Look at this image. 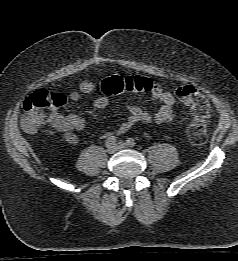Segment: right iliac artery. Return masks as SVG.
<instances>
[{
    "label": "right iliac artery",
    "mask_w": 238,
    "mask_h": 261,
    "mask_svg": "<svg viewBox=\"0 0 238 261\" xmlns=\"http://www.w3.org/2000/svg\"><path fill=\"white\" fill-rule=\"evenodd\" d=\"M117 142V138L115 136H110L107 138L105 145L106 147H110L112 145H115Z\"/></svg>",
    "instance_id": "82829eb1"
}]
</instances>
